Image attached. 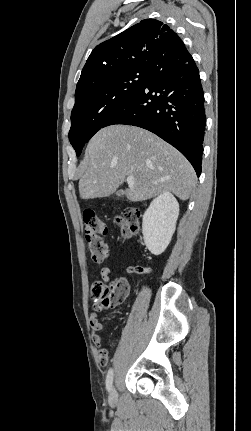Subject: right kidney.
Returning a JSON list of instances; mask_svg holds the SVG:
<instances>
[{
    "label": "right kidney",
    "instance_id": "obj_1",
    "mask_svg": "<svg viewBox=\"0 0 251 431\" xmlns=\"http://www.w3.org/2000/svg\"><path fill=\"white\" fill-rule=\"evenodd\" d=\"M179 204L170 192L157 196L143 215L142 233L148 250L160 255L169 245L175 232Z\"/></svg>",
    "mask_w": 251,
    "mask_h": 431
}]
</instances>
